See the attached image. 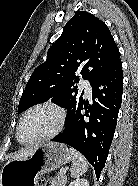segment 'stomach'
<instances>
[{
    "instance_id": "0dacf381",
    "label": "stomach",
    "mask_w": 138,
    "mask_h": 186,
    "mask_svg": "<svg viewBox=\"0 0 138 186\" xmlns=\"http://www.w3.org/2000/svg\"><path fill=\"white\" fill-rule=\"evenodd\" d=\"M71 161L69 149L61 143H44L28 156L8 161L0 173V186H35L38 177Z\"/></svg>"
}]
</instances>
